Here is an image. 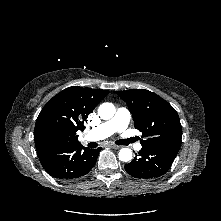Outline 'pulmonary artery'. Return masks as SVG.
<instances>
[{
    "mask_svg": "<svg viewBox=\"0 0 221 221\" xmlns=\"http://www.w3.org/2000/svg\"><path fill=\"white\" fill-rule=\"evenodd\" d=\"M130 119L131 114L129 110L126 108H119L113 118L90 129L85 134V138L90 141H99L108 138L116 132L125 130L130 122ZM135 148L140 150L142 146L137 144Z\"/></svg>",
    "mask_w": 221,
    "mask_h": 221,
    "instance_id": "obj_1",
    "label": "pulmonary artery"
}]
</instances>
